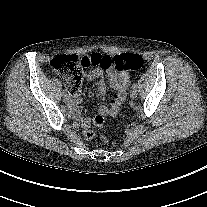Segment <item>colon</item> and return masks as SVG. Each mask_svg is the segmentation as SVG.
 Instances as JSON below:
<instances>
[{
	"mask_svg": "<svg viewBox=\"0 0 207 207\" xmlns=\"http://www.w3.org/2000/svg\"><path fill=\"white\" fill-rule=\"evenodd\" d=\"M143 58L135 53L117 55H104L94 53L78 57L75 55H60L52 59L50 66L64 79L65 85L70 93L80 89L83 80L84 70L91 67H98L104 70L114 68L117 71L131 70L138 71L143 67ZM104 118L97 115L93 119V126L84 130L83 136L91 139L94 136L93 127H101ZM116 145L115 142H111Z\"/></svg>",
	"mask_w": 207,
	"mask_h": 207,
	"instance_id": "5ec220e1",
	"label": "colon"
}]
</instances>
